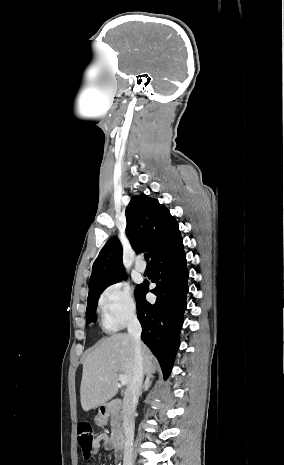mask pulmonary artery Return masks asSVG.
Listing matches in <instances>:
<instances>
[{
  "label": "pulmonary artery",
  "mask_w": 284,
  "mask_h": 465,
  "mask_svg": "<svg viewBox=\"0 0 284 465\" xmlns=\"http://www.w3.org/2000/svg\"><path fill=\"white\" fill-rule=\"evenodd\" d=\"M134 267H135L136 271H138L140 273H143L145 271V269H146L145 264L140 259H137L135 261Z\"/></svg>",
  "instance_id": "e3ab8cb5"
}]
</instances>
